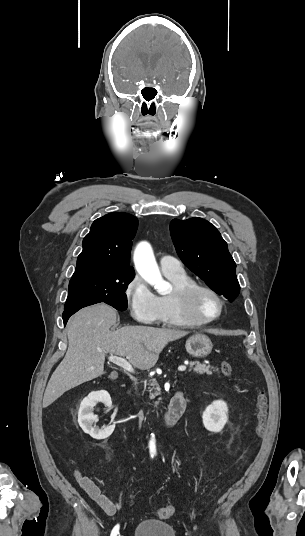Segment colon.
Returning <instances> with one entry per match:
<instances>
[{
    "instance_id": "1",
    "label": "colon",
    "mask_w": 305,
    "mask_h": 536,
    "mask_svg": "<svg viewBox=\"0 0 305 536\" xmlns=\"http://www.w3.org/2000/svg\"><path fill=\"white\" fill-rule=\"evenodd\" d=\"M221 373L224 376H232L233 368L231 363L228 360H223L220 363ZM267 395L265 392H259L256 396V406H257V425L256 433L260 436L265 428L266 416H267ZM132 496V494H130ZM174 507L172 505L160 506L156 509L155 514L157 518L166 519L173 515Z\"/></svg>"
}]
</instances>
